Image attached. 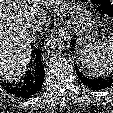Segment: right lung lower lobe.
<instances>
[{"label":"right lung lower lobe","mask_w":113,"mask_h":113,"mask_svg":"<svg viewBox=\"0 0 113 113\" xmlns=\"http://www.w3.org/2000/svg\"><path fill=\"white\" fill-rule=\"evenodd\" d=\"M33 63L31 69L19 83L0 81V85L11 95L27 99L37 94L44 82V66L42 63V50L37 48L33 51Z\"/></svg>","instance_id":"1"}]
</instances>
